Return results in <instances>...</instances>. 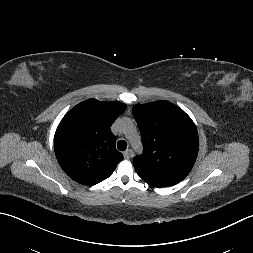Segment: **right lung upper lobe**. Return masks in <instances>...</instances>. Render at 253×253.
Returning a JSON list of instances; mask_svg holds the SVG:
<instances>
[{"instance_id":"right-lung-upper-lobe-1","label":"right lung upper lobe","mask_w":253,"mask_h":253,"mask_svg":"<svg viewBox=\"0 0 253 253\" xmlns=\"http://www.w3.org/2000/svg\"><path fill=\"white\" fill-rule=\"evenodd\" d=\"M126 108L121 102L89 99L63 117L55 133L54 150L69 177L95 185L111 176L123 155L116 150L110 126Z\"/></svg>"}]
</instances>
